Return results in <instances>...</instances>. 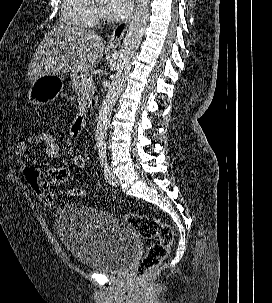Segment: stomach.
Listing matches in <instances>:
<instances>
[{
	"label": "stomach",
	"mask_w": 272,
	"mask_h": 303,
	"mask_svg": "<svg viewBox=\"0 0 272 303\" xmlns=\"http://www.w3.org/2000/svg\"><path fill=\"white\" fill-rule=\"evenodd\" d=\"M63 79L55 76H42L35 80L28 91V103L36 106L54 101L62 90Z\"/></svg>",
	"instance_id": "obj_1"
}]
</instances>
